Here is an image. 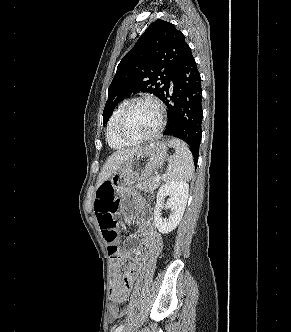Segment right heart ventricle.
Here are the masks:
<instances>
[{
    "instance_id": "e07e8e85",
    "label": "right heart ventricle",
    "mask_w": 291,
    "mask_h": 332,
    "mask_svg": "<svg viewBox=\"0 0 291 332\" xmlns=\"http://www.w3.org/2000/svg\"><path fill=\"white\" fill-rule=\"evenodd\" d=\"M127 103L128 101L124 100L116 107L107 125L106 139L110 147L113 149L120 150L131 145L130 143L123 141L117 133V121L122 109Z\"/></svg>"
}]
</instances>
